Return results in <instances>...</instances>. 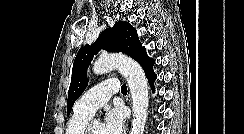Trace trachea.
I'll list each match as a JSON object with an SVG mask.
<instances>
[{
    "label": "trachea",
    "mask_w": 244,
    "mask_h": 134,
    "mask_svg": "<svg viewBox=\"0 0 244 134\" xmlns=\"http://www.w3.org/2000/svg\"><path fill=\"white\" fill-rule=\"evenodd\" d=\"M121 92H122L123 94H127V86H126V85H123V86L121 87Z\"/></svg>",
    "instance_id": "trachea-1"
}]
</instances>
